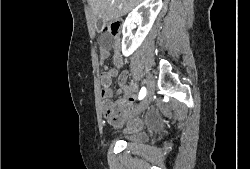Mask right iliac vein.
I'll list each match as a JSON object with an SVG mask.
<instances>
[{
  "instance_id": "obj_1",
  "label": "right iliac vein",
  "mask_w": 250,
  "mask_h": 169,
  "mask_svg": "<svg viewBox=\"0 0 250 169\" xmlns=\"http://www.w3.org/2000/svg\"><path fill=\"white\" fill-rule=\"evenodd\" d=\"M146 84H147V94H146V97H145L144 101L140 105H138L136 109H134L132 111L131 114H138V113H140L151 102V99L153 97V91H154V81H153V79L151 78L150 75L146 76Z\"/></svg>"
}]
</instances>
